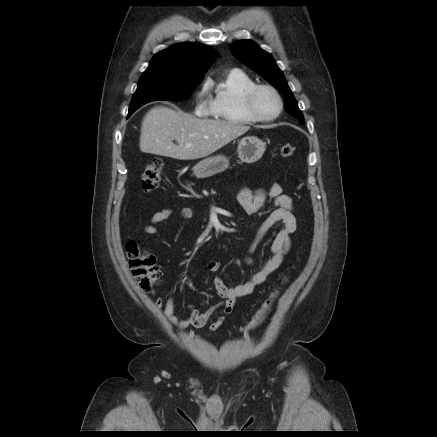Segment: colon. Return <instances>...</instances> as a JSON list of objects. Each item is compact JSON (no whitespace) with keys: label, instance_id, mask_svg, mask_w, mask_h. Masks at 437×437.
<instances>
[{"label":"colon","instance_id":"colon-1","mask_svg":"<svg viewBox=\"0 0 437 437\" xmlns=\"http://www.w3.org/2000/svg\"><path fill=\"white\" fill-rule=\"evenodd\" d=\"M296 148L290 144H285L280 148L282 157L293 156ZM163 162L161 159H153L147 164L141 176V189L144 193L153 192L159 186ZM126 254L131 268V272L144 292H150L160 279V271L153 255L143 250L135 241L126 244ZM279 296V291H275L263 303L250 322L241 331L249 333L258 328L267 318L271 309Z\"/></svg>","mask_w":437,"mask_h":437}]
</instances>
